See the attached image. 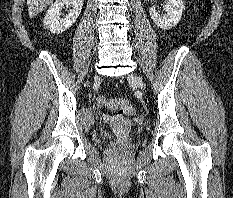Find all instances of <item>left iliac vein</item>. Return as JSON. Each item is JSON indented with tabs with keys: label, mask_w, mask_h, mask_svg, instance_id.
Wrapping results in <instances>:
<instances>
[{
	"label": "left iliac vein",
	"mask_w": 233,
	"mask_h": 198,
	"mask_svg": "<svg viewBox=\"0 0 233 198\" xmlns=\"http://www.w3.org/2000/svg\"><path fill=\"white\" fill-rule=\"evenodd\" d=\"M128 79L131 83L135 84L137 87L144 89V83L140 77H138L134 74H131V75H129Z\"/></svg>",
	"instance_id": "4c4485c4"
}]
</instances>
